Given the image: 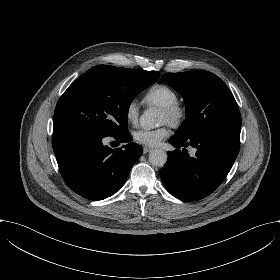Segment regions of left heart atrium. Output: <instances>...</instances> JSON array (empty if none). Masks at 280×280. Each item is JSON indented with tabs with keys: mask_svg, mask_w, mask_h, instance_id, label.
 <instances>
[{
	"mask_svg": "<svg viewBox=\"0 0 280 280\" xmlns=\"http://www.w3.org/2000/svg\"><path fill=\"white\" fill-rule=\"evenodd\" d=\"M169 127L170 124L166 121L158 128H137L132 133L133 140L139 145L148 147L158 146L161 140L169 136Z\"/></svg>",
	"mask_w": 280,
	"mask_h": 280,
	"instance_id": "obj_1",
	"label": "left heart atrium"
}]
</instances>
